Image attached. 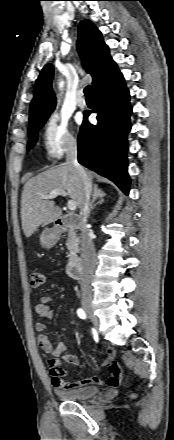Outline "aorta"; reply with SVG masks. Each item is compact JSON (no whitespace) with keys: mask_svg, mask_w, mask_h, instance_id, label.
I'll list each match as a JSON object with an SVG mask.
<instances>
[{"mask_svg":"<svg viewBox=\"0 0 174 440\" xmlns=\"http://www.w3.org/2000/svg\"><path fill=\"white\" fill-rule=\"evenodd\" d=\"M59 86L62 87L63 86V82H60Z\"/></svg>","mask_w":174,"mask_h":440,"instance_id":"obj_1","label":"aorta"}]
</instances>
